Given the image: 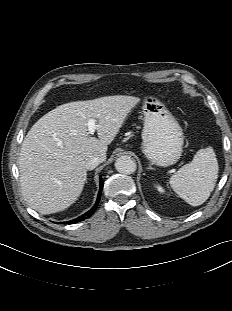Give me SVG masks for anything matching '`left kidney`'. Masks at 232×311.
Segmentation results:
<instances>
[{
    "mask_svg": "<svg viewBox=\"0 0 232 311\" xmlns=\"http://www.w3.org/2000/svg\"><path fill=\"white\" fill-rule=\"evenodd\" d=\"M156 188H157V190H158L159 192H164V190H163V188H162L161 186L157 185Z\"/></svg>",
    "mask_w": 232,
    "mask_h": 311,
    "instance_id": "left-kidney-1",
    "label": "left kidney"
}]
</instances>
